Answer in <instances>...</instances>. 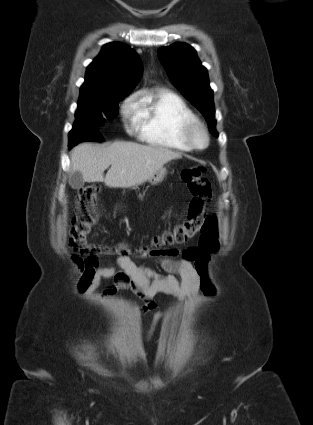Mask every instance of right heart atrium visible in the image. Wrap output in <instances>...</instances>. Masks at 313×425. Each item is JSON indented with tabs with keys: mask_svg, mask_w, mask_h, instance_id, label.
Masks as SVG:
<instances>
[{
	"mask_svg": "<svg viewBox=\"0 0 313 425\" xmlns=\"http://www.w3.org/2000/svg\"><path fill=\"white\" fill-rule=\"evenodd\" d=\"M136 111H137L136 98L131 97L123 105L122 114L125 118L134 119L136 116Z\"/></svg>",
	"mask_w": 313,
	"mask_h": 425,
	"instance_id": "1",
	"label": "right heart atrium"
}]
</instances>
